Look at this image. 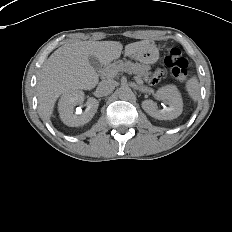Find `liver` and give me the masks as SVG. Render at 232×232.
<instances>
[{"mask_svg": "<svg viewBox=\"0 0 232 232\" xmlns=\"http://www.w3.org/2000/svg\"><path fill=\"white\" fill-rule=\"evenodd\" d=\"M150 44L143 40L127 44L125 56H131ZM123 45L117 41H76L66 43L54 51L38 77L37 96L40 116L49 120L56 100L61 94L73 90H91L99 81L96 70L89 63L94 55L101 64H107L121 56Z\"/></svg>", "mask_w": 232, "mask_h": 232, "instance_id": "obj_1", "label": "liver"}]
</instances>
